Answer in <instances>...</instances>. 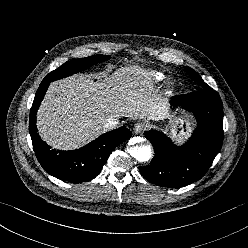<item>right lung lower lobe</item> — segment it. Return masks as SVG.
<instances>
[{
    "instance_id": "1",
    "label": "right lung lower lobe",
    "mask_w": 248,
    "mask_h": 248,
    "mask_svg": "<svg viewBox=\"0 0 248 248\" xmlns=\"http://www.w3.org/2000/svg\"><path fill=\"white\" fill-rule=\"evenodd\" d=\"M50 81H42L34 98L29 121V132L36 157L50 175L71 183H81L95 178L111 152L132 136L125 126L107 132L86 146L72 151L51 149L41 140L36 128V111L44 98Z\"/></svg>"
}]
</instances>
